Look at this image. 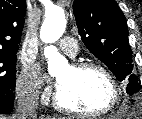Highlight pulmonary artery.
I'll use <instances>...</instances> for the list:
<instances>
[{
	"label": "pulmonary artery",
	"instance_id": "e3ab8cb5",
	"mask_svg": "<svg viewBox=\"0 0 142 119\" xmlns=\"http://www.w3.org/2000/svg\"><path fill=\"white\" fill-rule=\"evenodd\" d=\"M61 50L70 57H75L79 50L76 41L73 38H63L59 42Z\"/></svg>",
	"mask_w": 142,
	"mask_h": 119
}]
</instances>
